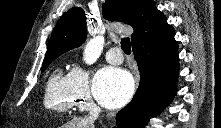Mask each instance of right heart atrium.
Returning a JSON list of instances; mask_svg holds the SVG:
<instances>
[{
    "label": "right heart atrium",
    "mask_w": 221,
    "mask_h": 128,
    "mask_svg": "<svg viewBox=\"0 0 221 128\" xmlns=\"http://www.w3.org/2000/svg\"><path fill=\"white\" fill-rule=\"evenodd\" d=\"M72 90L77 99V107L92 106L89 89V72L81 65H75L69 73Z\"/></svg>",
    "instance_id": "1"
}]
</instances>
